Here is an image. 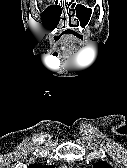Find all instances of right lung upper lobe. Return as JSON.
Masks as SVG:
<instances>
[{
    "instance_id": "right-lung-upper-lobe-1",
    "label": "right lung upper lobe",
    "mask_w": 127,
    "mask_h": 168,
    "mask_svg": "<svg viewBox=\"0 0 127 168\" xmlns=\"http://www.w3.org/2000/svg\"><path fill=\"white\" fill-rule=\"evenodd\" d=\"M29 168H54V165L42 166V165L32 164V165H29Z\"/></svg>"
}]
</instances>
